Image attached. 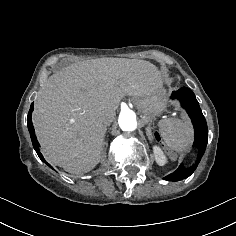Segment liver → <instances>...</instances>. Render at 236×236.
I'll return each mask as SVG.
<instances>
[{"label":"liver","mask_w":236,"mask_h":236,"mask_svg":"<svg viewBox=\"0 0 236 236\" xmlns=\"http://www.w3.org/2000/svg\"><path fill=\"white\" fill-rule=\"evenodd\" d=\"M157 86H163L161 72L137 59L86 60L51 75L33 116L44 156L69 173L90 171L103 157V137L121 99L143 100Z\"/></svg>","instance_id":"liver-1"}]
</instances>
